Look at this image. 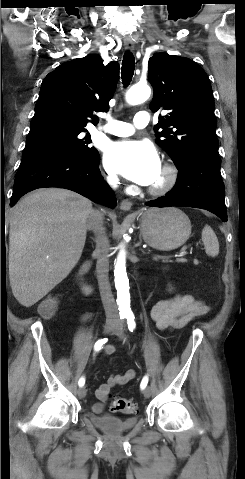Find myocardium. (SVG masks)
Here are the masks:
<instances>
[{
  "label": "myocardium",
  "instance_id": "1",
  "mask_svg": "<svg viewBox=\"0 0 245 479\" xmlns=\"http://www.w3.org/2000/svg\"><path fill=\"white\" fill-rule=\"evenodd\" d=\"M162 179L157 184L150 186L149 193L152 195H164L168 193L176 184L178 172L174 165L165 163L162 166Z\"/></svg>",
  "mask_w": 245,
  "mask_h": 479
}]
</instances>
